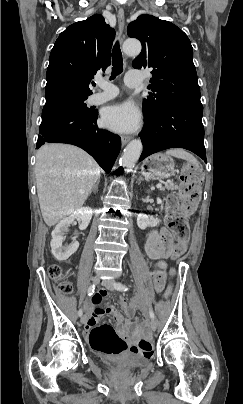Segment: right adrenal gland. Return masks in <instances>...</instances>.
<instances>
[{"instance_id":"1","label":"right adrenal gland","mask_w":243,"mask_h":404,"mask_svg":"<svg viewBox=\"0 0 243 404\" xmlns=\"http://www.w3.org/2000/svg\"><path fill=\"white\" fill-rule=\"evenodd\" d=\"M99 184H100V178H99V180H97L95 186H93V188H92L90 194H92V192H94V194H96V192H98V186H99Z\"/></svg>"}]
</instances>
